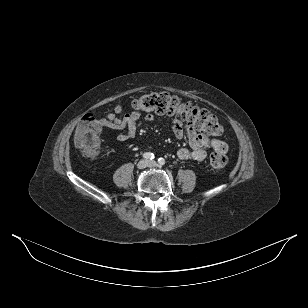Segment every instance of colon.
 Instances as JSON below:
<instances>
[{
    "instance_id": "colon-1",
    "label": "colon",
    "mask_w": 308,
    "mask_h": 308,
    "mask_svg": "<svg viewBox=\"0 0 308 308\" xmlns=\"http://www.w3.org/2000/svg\"><path fill=\"white\" fill-rule=\"evenodd\" d=\"M137 111L177 117L187 125L208 136H219L223 128L218 119L209 111L182 101L168 93H148L133 102ZM102 129L100 119L87 113L75 130L74 141L80 151L87 157H94L100 147L98 134ZM227 162L225 154L214 152L209 159L213 172L221 171Z\"/></svg>"
}]
</instances>
